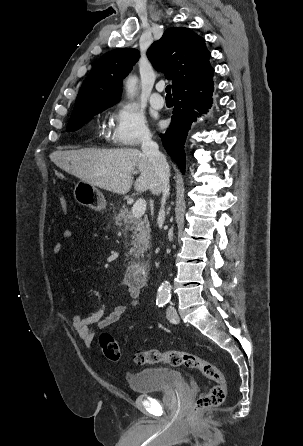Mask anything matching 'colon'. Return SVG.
Masks as SVG:
<instances>
[{
  "mask_svg": "<svg viewBox=\"0 0 303 446\" xmlns=\"http://www.w3.org/2000/svg\"><path fill=\"white\" fill-rule=\"evenodd\" d=\"M60 205L64 212L68 211V202L60 197ZM99 345L103 354L110 361L119 362L121 351L117 340L109 333L99 336ZM133 361L138 365L165 363L170 366H184L199 370L213 385L197 399L193 413L220 405L226 399L227 384L224 374L214 364L197 355L185 351H160L157 349H142L133 354Z\"/></svg>",
  "mask_w": 303,
  "mask_h": 446,
  "instance_id": "1",
  "label": "colon"
}]
</instances>
